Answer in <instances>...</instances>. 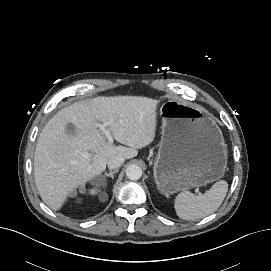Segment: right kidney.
Instances as JSON below:
<instances>
[{
	"label": "right kidney",
	"instance_id": "ca27d5eb",
	"mask_svg": "<svg viewBox=\"0 0 271 271\" xmlns=\"http://www.w3.org/2000/svg\"><path fill=\"white\" fill-rule=\"evenodd\" d=\"M83 190L85 191L84 188H82V191ZM98 192H99V190L97 188H93V189L90 190V194H97Z\"/></svg>",
	"mask_w": 271,
	"mask_h": 271
}]
</instances>
